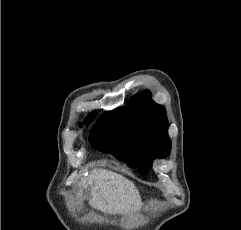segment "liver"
I'll return each mask as SVG.
<instances>
[{"mask_svg":"<svg viewBox=\"0 0 241 230\" xmlns=\"http://www.w3.org/2000/svg\"><path fill=\"white\" fill-rule=\"evenodd\" d=\"M90 179L94 181L95 187L92 189V199L89 204L98 210H127L140 202L134 184L117 173L94 170Z\"/></svg>","mask_w":241,"mask_h":230,"instance_id":"1","label":"liver"}]
</instances>
